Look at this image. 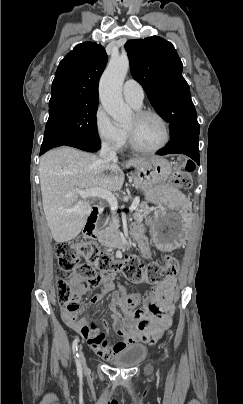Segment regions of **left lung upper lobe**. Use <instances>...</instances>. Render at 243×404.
<instances>
[{
  "mask_svg": "<svg viewBox=\"0 0 243 404\" xmlns=\"http://www.w3.org/2000/svg\"><path fill=\"white\" fill-rule=\"evenodd\" d=\"M125 49L133 78L142 85L156 112L169 123L171 138L180 133H199L189 85L173 45L153 36L129 40Z\"/></svg>",
  "mask_w": 243,
  "mask_h": 404,
  "instance_id": "1",
  "label": "left lung upper lobe"
}]
</instances>
